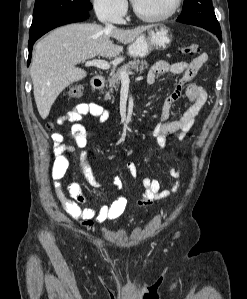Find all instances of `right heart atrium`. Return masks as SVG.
Returning <instances> with one entry per match:
<instances>
[{"label": "right heart atrium", "mask_w": 247, "mask_h": 299, "mask_svg": "<svg viewBox=\"0 0 247 299\" xmlns=\"http://www.w3.org/2000/svg\"><path fill=\"white\" fill-rule=\"evenodd\" d=\"M96 15L105 21L118 22L127 9L126 0H91Z\"/></svg>", "instance_id": "d8ad5b80"}]
</instances>
